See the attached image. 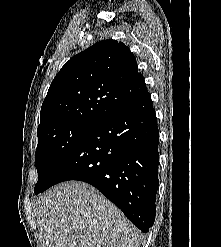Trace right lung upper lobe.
Segmentation results:
<instances>
[{
	"mask_svg": "<svg viewBox=\"0 0 221 247\" xmlns=\"http://www.w3.org/2000/svg\"><path fill=\"white\" fill-rule=\"evenodd\" d=\"M147 92L130 49L103 40L72 57L56 75L37 132L74 122L98 124Z\"/></svg>",
	"mask_w": 221,
	"mask_h": 247,
	"instance_id": "obj_1",
	"label": "right lung upper lobe"
}]
</instances>
